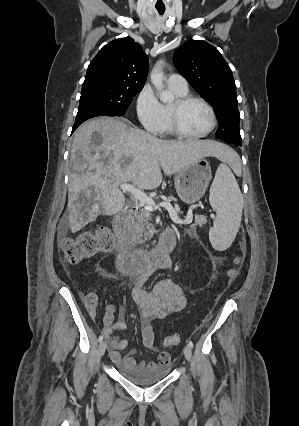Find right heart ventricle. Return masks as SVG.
<instances>
[{"label":"right heart ventricle","instance_id":"obj_1","mask_svg":"<svg viewBox=\"0 0 299 426\" xmlns=\"http://www.w3.org/2000/svg\"><path fill=\"white\" fill-rule=\"evenodd\" d=\"M171 89L173 90V92L178 97L187 95V91L182 92V91L175 90L173 88H171ZM163 110H164V116H165L164 131L171 133V132H173V130H172L171 121H170V106L169 105H163Z\"/></svg>","mask_w":299,"mask_h":426}]
</instances>
